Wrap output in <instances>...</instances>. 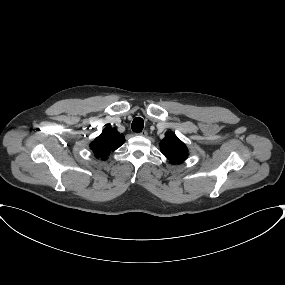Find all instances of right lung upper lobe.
<instances>
[{"instance_id": "1", "label": "right lung upper lobe", "mask_w": 285, "mask_h": 285, "mask_svg": "<svg viewBox=\"0 0 285 285\" xmlns=\"http://www.w3.org/2000/svg\"><path fill=\"white\" fill-rule=\"evenodd\" d=\"M125 142L123 134L112 127H106L102 133L90 144L97 159L106 160L109 154Z\"/></svg>"}]
</instances>
